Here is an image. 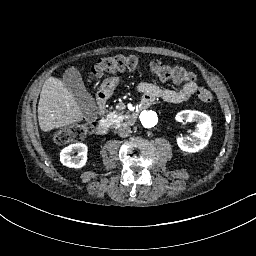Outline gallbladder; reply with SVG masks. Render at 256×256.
<instances>
[{"instance_id": "bac80fb5", "label": "gallbladder", "mask_w": 256, "mask_h": 256, "mask_svg": "<svg viewBox=\"0 0 256 256\" xmlns=\"http://www.w3.org/2000/svg\"><path fill=\"white\" fill-rule=\"evenodd\" d=\"M62 82L74 95L85 119L88 121L95 120L97 117V105L93 96L85 88L78 68L75 66L66 68L62 76Z\"/></svg>"}]
</instances>
